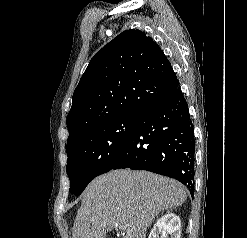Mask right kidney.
I'll return each instance as SVG.
<instances>
[{
    "label": "right kidney",
    "instance_id": "obj_1",
    "mask_svg": "<svg viewBox=\"0 0 247 238\" xmlns=\"http://www.w3.org/2000/svg\"><path fill=\"white\" fill-rule=\"evenodd\" d=\"M180 238L181 220L180 217L172 212L162 216L152 228L148 238Z\"/></svg>",
    "mask_w": 247,
    "mask_h": 238
}]
</instances>
